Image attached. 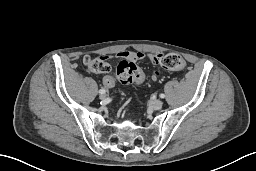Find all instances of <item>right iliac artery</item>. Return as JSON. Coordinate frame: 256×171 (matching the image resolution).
I'll return each mask as SVG.
<instances>
[{
	"instance_id": "obj_1",
	"label": "right iliac artery",
	"mask_w": 256,
	"mask_h": 171,
	"mask_svg": "<svg viewBox=\"0 0 256 171\" xmlns=\"http://www.w3.org/2000/svg\"><path fill=\"white\" fill-rule=\"evenodd\" d=\"M105 92H106L105 89H100V90H99V93H100V94H105Z\"/></svg>"
}]
</instances>
